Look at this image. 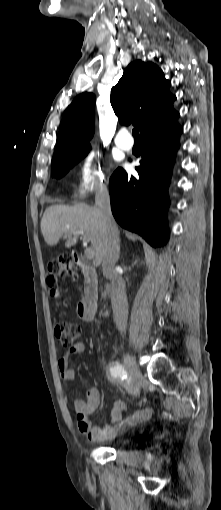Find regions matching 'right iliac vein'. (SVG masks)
<instances>
[{
  "label": "right iliac vein",
  "mask_w": 221,
  "mask_h": 510,
  "mask_svg": "<svg viewBox=\"0 0 221 510\" xmlns=\"http://www.w3.org/2000/svg\"><path fill=\"white\" fill-rule=\"evenodd\" d=\"M123 363L132 379L133 382V396L134 398L138 397L140 394V390L142 388L144 379L142 373L135 361V359L130 354H125L123 356Z\"/></svg>",
  "instance_id": "63e3f726"
}]
</instances>
